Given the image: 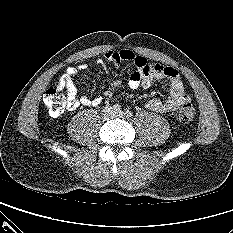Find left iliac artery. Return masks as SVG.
Masks as SVG:
<instances>
[{"instance_id": "1", "label": "left iliac artery", "mask_w": 233, "mask_h": 233, "mask_svg": "<svg viewBox=\"0 0 233 233\" xmlns=\"http://www.w3.org/2000/svg\"><path fill=\"white\" fill-rule=\"evenodd\" d=\"M124 116H125L126 118H130V117L132 116V112L129 111V110H127V111L124 113Z\"/></svg>"}]
</instances>
